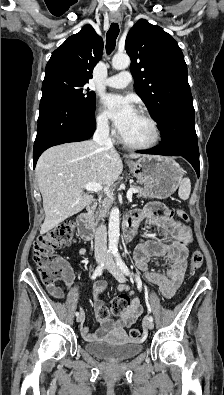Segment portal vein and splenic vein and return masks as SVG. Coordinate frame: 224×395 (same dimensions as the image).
Listing matches in <instances>:
<instances>
[{
  "mask_svg": "<svg viewBox=\"0 0 224 395\" xmlns=\"http://www.w3.org/2000/svg\"><path fill=\"white\" fill-rule=\"evenodd\" d=\"M84 189L87 190V191H94V192H99V191H101L102 189H104V192L106 193V195H107L109 198H112V193L110 192V190H109L108 187H104V188H103L102 185H100V184H98V183H95V182L86 183V184L84 185ZM133 193H138V190L135 189V188H130V189L127 191V199H128V200H131V199H132Z\"/></svg>",
  "mask_w": 224,
  "mask_h": 395,
  "instance_id": "1",
  "label": "portal vein and splenic vein"
}]
</instances>
